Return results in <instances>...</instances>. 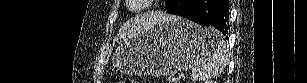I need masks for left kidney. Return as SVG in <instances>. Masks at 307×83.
Returning <instances> with one entry per match:
<instances>
[{
  "label": "left kidney",
  "instance_id": "5707ae66",
  "mask_svg": "<svg viewBox=\"0 0 307 83\" xmlns=\"http://www.w3.org/2000/svg\"><path fill=\"white\" fill-rule=\"evenodd\" d=\"M208 83H213V81H210V82H208Z\"/></svg>",
  "mask_w": 307,
  "mask_h": 83
}]
</instances>
